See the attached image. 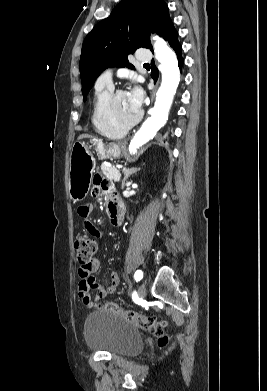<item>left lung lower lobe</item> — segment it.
Here are the masks:
<instances>
[{
  "instance_id": "obj_1",
  "label": "left lung lower lobe",
  "mask_w": 267,
  "mask_h": 391,
  "mask_svg": "<svg viewBox=\"0 0 267 391\" xmlns=\"http://www.w3.org/2000/svg\"><path fill=\"white\" fill-rule=\"evenodd\" d=\"M164 39L166 41H168L170 46L176 52V55H177V58H178L179 68L181 69L182 64H183V58H182V55H181L182 47H181V45L178 42V32L175 30L174 26L166 33V35L164 36ZM151 76L154 79V81L156 82L157 78H158V69L155 67L154 61H152Z\"/></svg>"
}]
</instances>
